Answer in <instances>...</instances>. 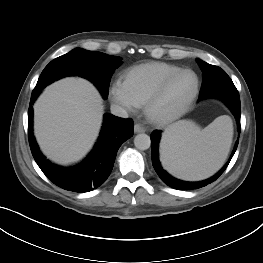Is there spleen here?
Segmentation results:
<instances>
[{
  "label": "spleen",
  "mask_w": 263,
  "mask_h": 263,
  "mask_svg": "<svg viewBox=\"0 0 263 263\" xmlns=\"http://www.w3.org/2000/svg\"><path fill=\"white\" fill-rule=\"evenodd\" d=\"M233 125L229 116L217 117L204 129L190 121L171 125L160 144V160L173 176L203 180L218 171L232 143Z\"/></svg>",
  "instance_id": "1"
}]
</instances>
